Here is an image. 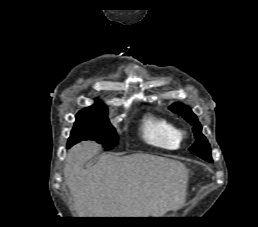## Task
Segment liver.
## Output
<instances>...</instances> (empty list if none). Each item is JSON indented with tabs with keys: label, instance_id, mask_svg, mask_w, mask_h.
Masks as SVG:
<instances>
[{
	"label": "liver",
	"instance_id": "obj_1",
	"mask_svg": "<svg viewBox=\"0 0 258 227\" xmlns=\"http://www.w3.org/2000/svg\"><path fill=\"white\" fill-rule=\"evenodd\" d=\"M98 150L95 142H81L65 161L64 177L79 217H161L185 202L188 171L181 162L148 154H103L84 168Z\"/></svg>",
	"mask_w": 258,
	"mask_h": 227
}]
</instances>
